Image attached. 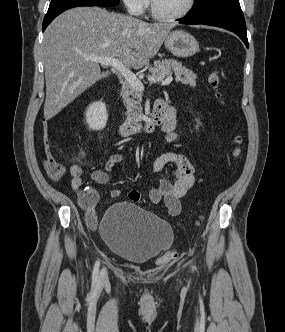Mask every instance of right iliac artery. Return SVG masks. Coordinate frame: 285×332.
I'll use <instances>...</instances> for the list:
<instances>
[{
  "label": "right iliac artery",
  "instance_id": "obj_1",
  "mask_svg": "<svg viewBox=\"0 0 285 332\" xmlns=\"http://www.w3.org/2000/svg\"><path fill=\"white\" fill-rule=\"evenodd\" d=\"M99 266H100L99 261H96V263L94 265V268H93V273H92V278H93L94 281L97 280L98 272H99Z\"/></svg>",
  "mask_w": 285,
  "mask_h": 332
}]
</instances>
